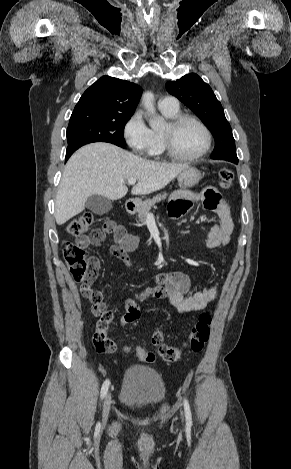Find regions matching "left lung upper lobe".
Returning a JSON list of instances; mask_svg holds the SVG:
<instances>
[{
  "instance_id": "1",
  "label": "left lung upper lobe",
  "mask_w": 291,
  "mask_h": 469,
  "mask_svg": "<svg viewBox=\"0 0 291 469\" xmlns=\"http://www.w3.org/2000/svg\"><path fill=\"white\" fill-rule=\"evenodd\" d=\"M167 91L194 111L215 138L212 159L226 157L236 159V147L232 130L220 102L211 87L197 74H187L176 81L166 83Z\"/></svg>"
}]
</instances>
